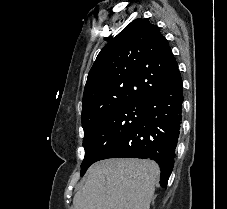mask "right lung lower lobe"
<instances>
[{
    "label": "right lung lower lobe",
    "mask_w": 227,
    "mask_h": 209,
    "mask_svg": "<svg viewBox=\"0 0 227 209\" xmlns=\"http://www.w3.org/2000/svg\"><path fill=\"white\" fill-rule=\"evenodd\" d=\"M158 72L170 82L146 99L142 118L102 159L151 158L161 168L160 185L166 189L181 127L183 89L178 64Z\"/></svg>",
    "instance_id": "1"
}]
</instances>
